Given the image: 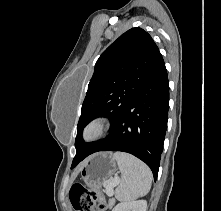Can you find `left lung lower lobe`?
I'll return each instance as SVG.
<instances>
[{"label": "left lung lower lobe", "instance_id": "0a47b994", "mask_svg": "<svg viewBox=\"0 0 221 211\" xmlns=\"http://www.w3.org/2000/svg\"><path fill=\"white\" fill-rule=\"evenodd\" d=\"M169 82L162 55L154 61L141 88L110 134L89 153L122 151L144 161L157 179L167 128Z\"/></svg>", "mask_w": 221, "mask_h": 211}]
</instances>
